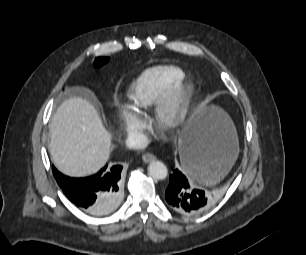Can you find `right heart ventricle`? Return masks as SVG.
I'll list each match as a JSON object with an SVG mask.
<instances>
[{"instance_id":"obj_1","label":"right heart ventricle","mask_w":306,"mask_h":255,"mask_svg":"<svg viewBox=\"0 0 306 255\" xmlns=\"http://www.w3.org/2000/svg\"><path fill=\"white\" fill-rule=\"evenodd\" d=\"M185 78L184 72L173 65H159L143 71L130 85L128 98L131 107L145 113Z\"/></svg>"}]
</instances>
